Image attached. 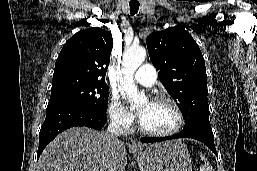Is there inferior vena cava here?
<instances>
[{
    "label": "inferior vena cava",
    "mask_w": 257,
    "mask_h": 171,
    "mask_svg": "<svg viewBox=\"0 0 257 171\" xmlns=\"http://www.w3.org/2000/svg\"><path fill=\"white\" fill-rule=\"evenodd\" d=\"M107 133L115 137L120 135L126 136V132L122 129L121 123L115 118L111 119L107 128Z\"/></svg>",
    "instance_id": "1"
}]
</instances>
